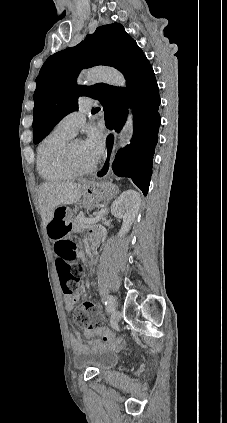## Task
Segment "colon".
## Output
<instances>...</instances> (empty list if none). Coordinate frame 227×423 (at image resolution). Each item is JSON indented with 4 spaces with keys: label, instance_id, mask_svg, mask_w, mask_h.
Masks as SVG:
<instances>
[{
    "label": "colon",
    "instance_id": "obj_1",
    "mask_svg": "<svg viewBox=\"0 0 227 423\" xmlns=\"http://www.w3.org/2000/svg\"><path fill=\"white\" fill-rule=\"evenodd\" d=\"M50 233L54 240L56 268L62 291L65 295H75L82 268L76 262V246L68 238L69 225L64 221H57ZM75 321L80 327L88 330L97 329L101 325L98 308L91 302L83 303L75 312Z\"/></svg>",
    "mask_w": 227,
    "mask_h": 423
}]
</instances>
